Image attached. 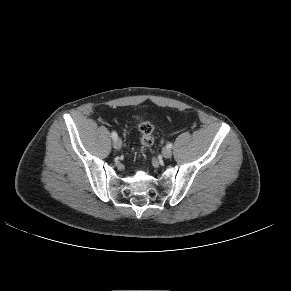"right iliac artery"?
Wrapping results in <instances>:
<instances>
[{
    "label": "right iliac artery",
    "instance_id": "obj_1",
    "mask_svg": "<svg viewBox=\"0 0 291 291\" xmlns=\"http://www.w3.org/2000/svg\"><path fill=\"white\" fill-rule=\"evenodd\" d=\"M111 137L115 140V139H117L118 135H117V133L115 131H113L111 133Z\"/></svg>",
    "mask_w": 291,
    "mask_h": 291
}]
</instances>
